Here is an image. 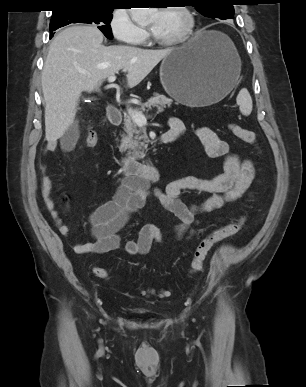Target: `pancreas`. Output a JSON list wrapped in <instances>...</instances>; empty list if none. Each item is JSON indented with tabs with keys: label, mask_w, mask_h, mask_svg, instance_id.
Masks as SVG:
<instances>
[{
	"label": "pancreas",
	"mask_w": 306,
	"mask_h": 387,
	"mask_svg": "<svg viewBox=\"0 0 306 387\" xmlns=\"http://www.w3.org/2000/svg\"><path fill=\"white\" fill-rule=\"evenodd\" d=\"M172 102V99L165 95L155 93L147 102L141 104L136 111L142 113L156 108L158 112H162L166 107H170ZM124 131L125 133L121 135L119 151L121 153L127 151V156L134 159H143L146 155L147 143H149L145 129H139L129 114L124 117Z\"/></svg>",
	"instance_id": "1"
}]
</instances>
